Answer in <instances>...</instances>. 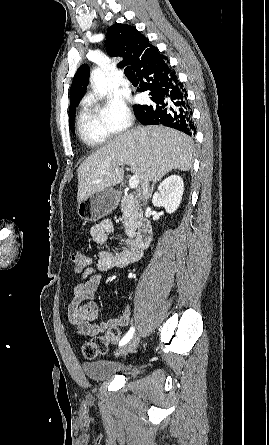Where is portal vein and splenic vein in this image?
<instances>
[{"mask_svg":"<svg viewBox=\"0 0 269 445\" xmlns=\"http://www.w3.org/2000/svg\"><path fill=\"white\" fill-rule=\"evenodd\" d=\"M118 169H120V166H119V167H116V170H118ZM127 170H128V169H127ZM138 184H139V178H138V176H137V175H133V176H131L130 179H129V187H130L131 189H135V188H137Z\"/></svg>","mask_w":269,"mask_h":445,"instance_id":"portal-vein-and-splenic-vein-1","label":"portal vein and splenic vein"}]
</instances>
